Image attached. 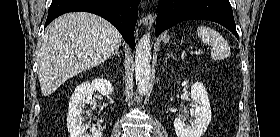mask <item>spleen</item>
Returning a JSON list of instances; mask_svg holds the SVG:
<instances>
[{
  "label": "spleen",
  "instance_id": "obj_1",
  "mask_svg": "<svg viewBox=\"0 0 280 137\" xmlns=\"http://www.w3.org/2000/svg\"><path fill=\"white\" fill-rule=\"evenodd\" d=\"M197 34L203 43L211 47V57L214 60H223L231 55L228 42L215 29L207 26H199Z\"/></svg>",
  "mask_w": 280,
  "mask_h": 137
}]
</instances>
